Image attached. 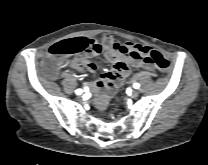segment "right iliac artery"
Masks as SVG:
<instances>
[{"label":"right iliac artery","instance_id":"82829eb1","mask_svg":"<svg viewBox=\"0 0 208 165\" xmlns=\"http://www.w3.org/2000/svg\"><path fill=\"white\" fill-rule=\"evenodd\" d=\"M75 92H76V94H78V95H79V94H81V93H82V90H81V89H77Z\"/></svg>","mask_w":208,"mask_h":165}]
</instances>
